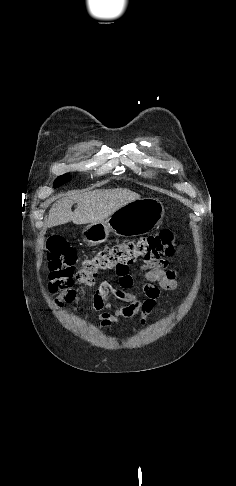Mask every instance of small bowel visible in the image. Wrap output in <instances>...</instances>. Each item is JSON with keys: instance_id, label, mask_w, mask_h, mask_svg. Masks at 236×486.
<instances>
[{"instance_id": "c3829d8e", "label": "small bowel", "mask_w": 236, "mask_h": 486, "mask_svg": "<svg viewBox=\"0 0 236 486\" xmlns=\"http://www.w3.org/2000/svg\"><path fill=\"white\" fill-rule=\"evenodd\" d=\"M145 270L144 278L146 283L143 292L146 296L140 300L136 293L131 292L134 279L129 271V266L122 270H115L118 283L112 284L109 281H102L94 292L92 309L103 311L99 315L102 325L121 323L120 318L133 320L139 317V323L145 325L147 317L157 307L160 297V289L174 290L177 286L175 273L167 270V262L164 260L146 262L143 265ZM110 296L127 303L126 306L116 307L110 301Z\"/></svg>"}]
</instances>
